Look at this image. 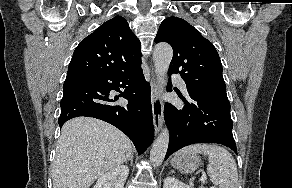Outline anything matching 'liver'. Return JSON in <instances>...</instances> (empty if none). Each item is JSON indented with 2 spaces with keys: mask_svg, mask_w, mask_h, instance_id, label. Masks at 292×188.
<instances>
[{
  "mask_svg": "<svg viewBox=\"0 0 292 188\" xmlns=\"http://www.w3.org/2000/svg\"><path fill=\"white\" fill-rule=\"evenodd\" d=\"M133 154L131 141L112 125L91 117L67 121L52 167L53 188H90Z\"/></svg>",
  "mask_w": 292,
  "mask_h": 188,
  "instance_id": "1",
  "label": "liver"
}]
</instances>
